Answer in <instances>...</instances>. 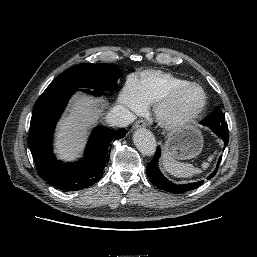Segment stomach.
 Here are the masks:
<instances>
[{"label": "stomach", "instance_id": "obj_1", "mask_svg": "<svg viewBox=\"0 0 257 257\" xmlns=\"http://www.w3.org/2000/svg\"><path fill=\"white\" fill-rule=\"evenodd\" d=\"M203 148V137L195 125H187L172 131L166 142V149L173 158L187 160L195 158Z\"/></svg>", "mask_w": 257, "mask_h": 257}]
</instances>
